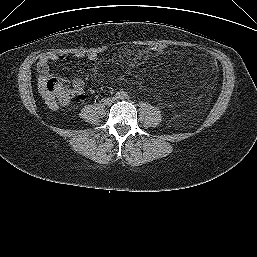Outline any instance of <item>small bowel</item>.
<instances>
[{"label": "small bowel", "mask_w": 257, "mask_h": 257, "mask_svg": "<svg viewBox=\"0 0 257 257\" xmlns=\"http://www.w3.org/2000/svg\"><path fill=\"white\" fill-rule=\"evenodd\" d=\"M66 56L59 53H46L42 55L37 63V71L39 73V82L44 83L46 79L50 76V63L64 60ZM90 60H96V54H90L88 56ZM59 79L65 84L69 85L73 91L80 97L84 99V82L81 78L75 77L68 79L65 77H59Z\"/></svg>", "instance_id": "obj_1"}]
</instances>
